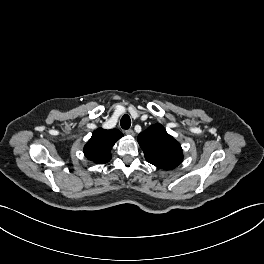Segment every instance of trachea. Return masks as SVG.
Wrapping results in <instances>:
<instances>
[{
	"label": "trachea",
	"instance_id": "1",
	"mask_svg": "<svg viewBox=\"0 0 264 264\" xmlns=\"http://www.w3.org/2000/svg\"><path fill=\"white\" fill-rule=\"evenodd\" d=\"M121 127L123 129H129L130 126H131V119L128 115H124L122 118H121Z\"/></svg>",
	"mask_w": 264,
	"mask_h": 264
}]
</instances>
